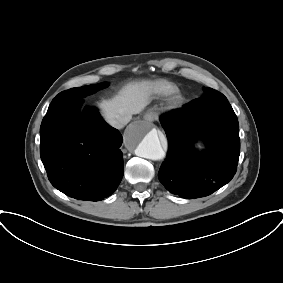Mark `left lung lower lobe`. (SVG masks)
<instances>
[{
	"mask_svg": "<svg viewBox=\"0 0 283 283\" xmlns=\"http://www.w3.org/2000/svg\"><path fill=\"white\" fill-rule=\"evenodd\" d=\"M235 116L227 98L216 93L204 94L160 117L168 153L158 178L168 191L187 199L199 198L231 181L240 155L239 127L231 125ZM199 137L208 147L202 153L193 149Z\"/></svg>",
	"mask_w": 283,
	"mask_h": 283,
	"instance_id": "1",
	"label": "left lung lower lobe"
}]
</instances>
